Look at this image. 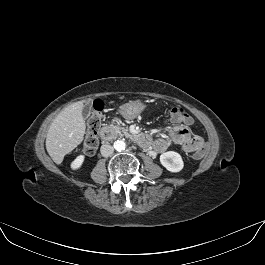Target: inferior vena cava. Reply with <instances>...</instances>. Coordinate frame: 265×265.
Wrapping results in <instances>:
<instances>
[{"label":"inferior vena cava","mask_w":265,"mask_h":265,"mask_svg":"<svg viewBox=\"0 0 265 265\" xmlns=\"http://www.w3.org/2000/svg\"><path fill=\"white\" fill-rule=\"evenodd\" d=\"M114 148L110 144H103L100 148V152L103 157H109L113 154Z\"/></svg>","instance_id":"602c4592"}]
</instances>
